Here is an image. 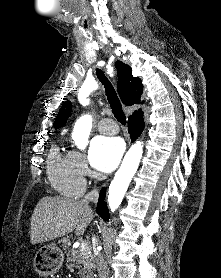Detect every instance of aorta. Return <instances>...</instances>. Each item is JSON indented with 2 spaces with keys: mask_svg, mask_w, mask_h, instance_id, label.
I'll return each instance as SVG.
<instances>
[{
  "mask_svg": "<svg viewBox=\"0 0 221 278\" xmlns=\"http://www.w3.org/2000/svg\"><path fill=\"white\" fill-rule=\"evenodd\" d=\"M93 118L87 114L77 120L72 138L79 149H85L92 128ZM143 154V145L137 141L124 157L120 169L116 172L108 191V206L115 211L121 204L128 186L137 171Z\"/></svg>",
  "mask_w": 221,
  "mask_h": 278,
  "instance_id": "obj_1",
  "label": "aorta"
}]
</instances>
